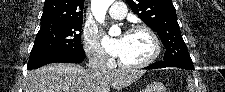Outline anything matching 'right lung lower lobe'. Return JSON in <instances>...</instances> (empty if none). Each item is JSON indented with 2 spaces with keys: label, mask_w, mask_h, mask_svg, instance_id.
I'll use <instances>...</instances> for the list:
<instances>
[{
  "label": "right lung lower lobe",
  "mask_w": 225,
  "mask_h": 92,
  "mask_svg": "<svg viewBox=\"0 0 225 92\" xmlns=\"http://www.w3.org/2000/svg\"><path fill=\"white\" fill-rule=\"evenodd\" d=\"M85 58V52L81 50H60L42 55L30 57L27 69H37L49 63H80Z\"/></svg>",
  "instance_id": "right-lung-lower-lobe-1"
}]
</instances>
